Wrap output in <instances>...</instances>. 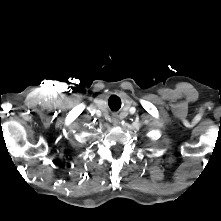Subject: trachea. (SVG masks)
<instances>
[{
	"instance_id": "1",
	"label": "trachea",
	"mask_w": 221,
	"mask_h": 221,
	"mask_svg": "<svg viewBox=\"0 0 221 221\" xmlns=\"http://www.w3.org/2000/svg\"><path fill=\"white\" fill-rule=\"evenodd\" d=\"M116 99H119L118 97L116 96H112L109 100V103H114L116 101ZM120 100V99H119Z\"/></svg>"
}]
</instances>
